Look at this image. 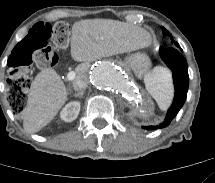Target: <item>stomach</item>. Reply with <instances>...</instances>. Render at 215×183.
Returning <instances> with one entry per match:
<instances>
[{
    "label": "stomach",
    "mask_w": 215,
    "mask_h": 183,
    "mask_svg": "<svg viewBox=\"0 0 215 183\" xmlns=\"http://www.w3.org/2000/svg\"><path fill=\"white\" fill-rule=\"evenodd\" d=\"M124 61L138 76L144 75L151 67V61L144 53L131 54Z\"/></svg>",
    "instance_id": "stomach-1"
}]
</instances>
